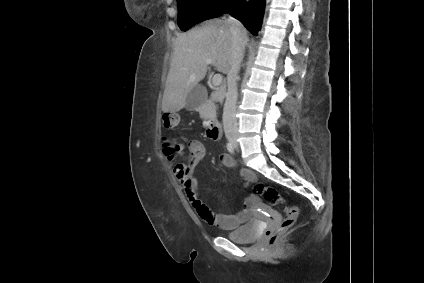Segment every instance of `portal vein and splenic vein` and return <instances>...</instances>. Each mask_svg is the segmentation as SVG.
I'll return each mask as SVG.
<instances>
[{
  "instance_id": "obj_1",
  "label": "portal vein and splenic vein",
  "mask_w": 424,
  "mask_h": 283,
  "mask_svg": "<svg viewBox=\"0 0 424 283\" xmlns=\"http://www.w3.org/2000/svg\"><path fill=\"white\" fill-rule=\"evenodd\" d=\"M206 62H207V64L212 63V61L210 59H208ZM222 80H223V76L220 73H216L215 75H213L212 84L215 87H219L222 84Z\"/></svg>"
}]
</instances>
